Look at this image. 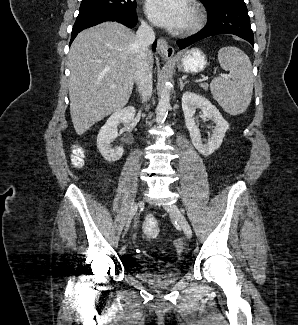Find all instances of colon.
I'll list each match as a JSON object with an SVG mask.
<instances>
[{
	"label": "colon",
	"instance_id": "5ec220e1",
	"mask_svg": "<svg viewBox=\"0 0 298 325\" xmlns=\"http://www.w3.org/2000/svg\"><path fill=\"white\" fill-rule=\"evenodd\" d=\"M73 164L75 167H82L83 154L79 152L73 157ZM159 233V223L154 216H146L142 223V236L147 240H151L157 237Z\"/></svg>",
	"mask_w": 298,
	"mask_h": 325
}]
</instances>
